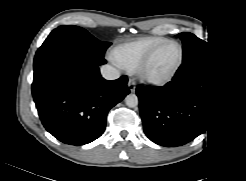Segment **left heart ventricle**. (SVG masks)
<instances>
[{"instance_id": "1", "label": "left heart ventricle", "mask_w": 246, "mask_h": 181, "mask_svg": "<svg viewBox=\"0 0 246 181\" xmlns=\"http://www.w3.org/2000/svg\"><path fill=\"white\" fill-rule=\"evenodd\" d=\"M178 57V47L169 45L156 58L151 66V71L158 74L167 73L175 64Z\"/></svg>"}]
</instances>
